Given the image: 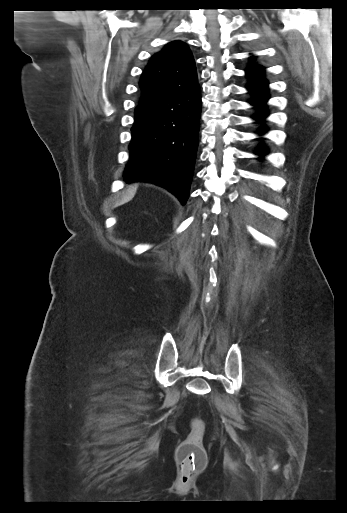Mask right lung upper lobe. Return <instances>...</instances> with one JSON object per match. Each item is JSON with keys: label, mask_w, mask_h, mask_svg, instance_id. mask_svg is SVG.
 Segmentation results:
<instances>
[{"label": "right lung upper lobe", "mask_w": 347, "mask_h": 513, "mask_svg": "<svg viewBox=\"0 0 347 513\" xmlns=\"http://www.w3.org/2000/svg\"><path fill=\"white\" fill-rule=\"evenodd\" d=\"M139 84L140 101L168 97L197 86L196 66L187 44L170 42L152 56Z\"/></svg>", "instance_id": "obj_1"}]
</instances>
